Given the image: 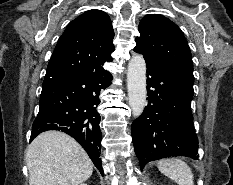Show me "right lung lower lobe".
I'll return each instance as SVG.
<instances>
[{"label":"right lung lower lobe","mask_w":233,"mask_h":185,"mask_svg":"<svg viewBox=\"0 0 233 185\" xmlns=\"http://www.w3.org/2000/svg\"><path fill=\"white\" fill-rule=\"evenodd\" d=\"M112 75L95 69L44 79L39 113L33 123L32 141L46 130H61L76 139L103 175L101 165L99 94L110 85Z\"/></svg>","instance_id":"right-lung-lower-lobe-1"}]
</instances>
